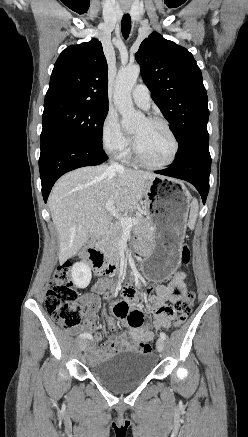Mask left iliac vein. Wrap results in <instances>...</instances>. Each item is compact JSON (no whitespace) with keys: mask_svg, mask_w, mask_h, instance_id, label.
Listing matches in <instances>:
<instances>
[{"mask_svg":"<svg viewBox=\"0 0 248 437\" xmlns=\"http://www.w3.org/2000/svg\"><path fill=\"white\" fill-rule=\"evenodd\" d=\"M165 347V342L162 338H159L156 342V349L158 352H163Z\"/></svg>","mask_w":248,"mask_h":437,"instance_id":"obj_1","label":"left iliac vein"}]
</instances>
